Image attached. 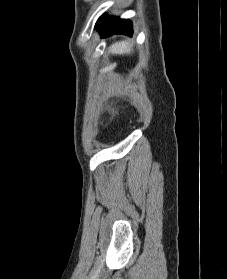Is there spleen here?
Segmentation results:
<instances>
[{"mask_svg":"<svg viewBox=\"0 0 227 279\" xmlns=\"http://www.w3.org/2000/svg\"><path fill=\"white\" fill-rule=\"evenodd\" d=\"M131 46H132L131 44L124 41L117 42L110 47V51L112 53H119V54L130 53Z\"/></svg>","mask_w":227,"mask_h":279,"instance_id":"1","label":"spleen"}]
</instances>
